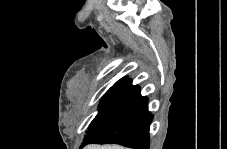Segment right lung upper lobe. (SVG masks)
Returning a JSON list of instances; mask_svg holds the SVG:
<instances>
[{
    "mask_svg": "<svg viewBox=\"0 0 227 149\" xmlns=\"http://www.w3.org/2000/svg\"><path fill=\"white\" fill-rule=\"evenodd\" d=\"M111 88H125V89H138V90H140L138 85H135V86L132 85V80L128 77L121 78Z\"/></svg>",
    "mask_w": 227,
    "mask_h": 149,
    "instance_id": "1",
    "label": "right lung upper lobe"
}]
</instances>
